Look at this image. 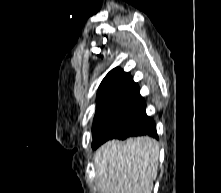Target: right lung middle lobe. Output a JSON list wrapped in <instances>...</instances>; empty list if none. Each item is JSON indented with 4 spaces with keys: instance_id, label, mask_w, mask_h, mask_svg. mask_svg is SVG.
<instances>
[{
    "instance_id": "right-lung-middle-lobe-1",
    "label": "right lung middle lobe",
    "mask_w": 221,
    "mask_h": 193,
    "mask_svg": "<svg viewBox=\"0 0 221 193\" xmlns=\"http://www.w3.org/2000/svg\"><path fill=\"white\" fill-rule=\"evenodd\" d=\"M145 108V102H123L97 111L92 127V148L141 125L148 118Z\"/></svg>"
}]
</instances>
